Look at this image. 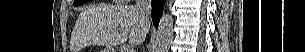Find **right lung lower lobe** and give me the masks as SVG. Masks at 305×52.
Here are the masks:
<instances>
[{
  "instance_id": "1",
  "label": "right lung lower lobe",
  "mask_w": 305,
  "mask_h": 52,
  "mask_svg": "<svg viewBox=\"0 0 305 52\" xmlns=\"http://www.w3.org/2000/svg\"><path fill=\"white\" fill-rule=\"evenodd\" d=\"M166 0H153L152 2V21L156 27H158L160 17L162 15L164 4Z\"/></svg>"
}]
</instances>
